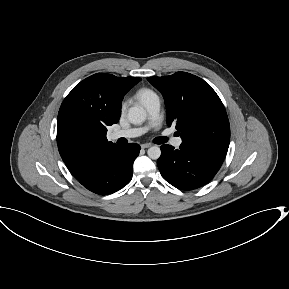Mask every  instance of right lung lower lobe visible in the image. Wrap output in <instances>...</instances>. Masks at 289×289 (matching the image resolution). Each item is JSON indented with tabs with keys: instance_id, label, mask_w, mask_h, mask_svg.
<instances>
[{
	"instance_id": "98d812e1",
	"label": "right lung lower lobe",
	"mask_w": 289,
	"mask_h": 289,
	"mask_svg": "<svg viewBox=\"0 0 289 289\" xmlns=\"http://www.w3.org/2000/svg\"><path fill=\"white\" fill-rule=\"evenodd\" d=\"M139 151L140 146L136 143L117 146L98 157L77 180L96 194L114 193L130 182L133 162Z\"/></svg>"
}]
</instances>
